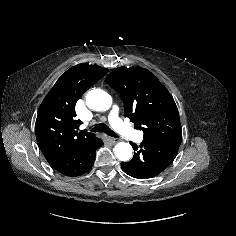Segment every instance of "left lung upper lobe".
Here are the masks:
<instances>
[{"mask_svg":"<svg viewBox=\"0 0 236 236\" xmlns=\"http://www.w3.org/2000/svg\"><path fill=\"white\" fill-rule=\"evenodd\" d=\"M106 82L120 93L125 116L143 131V140L182 139L177 106L149 70L119 67L106 77Z\"/></svg>","mask_w":236,"mask_h":236,"instance_id":"5c2ea615","label":"left lung upper lobe"}]
</instances>
